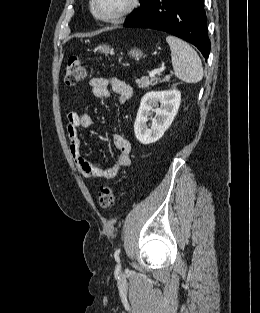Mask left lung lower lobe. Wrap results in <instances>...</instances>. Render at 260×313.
Masks as SVG:
<instances>
[{
    "mask_svg": "<svg viewBox=\"0 0 260 313\" xmlns=\"http://www.w3.org/2000/svg\"><path fill=\"white\" fill-rule=\"evenodd\" d=\"M123 26L152 28L173 34L195 45L205 58L209 56L203 0H150Z\"/></svg>",
    "mask_w": 260,
    "mask_h": 313,
    "instance_id": "0a47b994",
    "label": "left lung lower lobe"
}]
</instances>
